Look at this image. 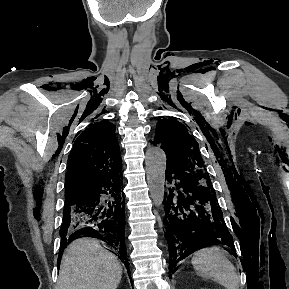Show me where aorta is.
Instances as JSON below:
<instances>
[{
	"label": "aorta",
	"mask_w": 289,
	"mask_h": 289,
	"mask_svg": "<svg viewBox=\"0 0 289 289\" xmlns=\"http://www.w3.org/2000/svg\"><path fill=\"white\" fill-rule=\"evenodd\" d=\"M145 165L150 196L155 206L161 208L165 192V152L158 146L148 148Z\"/></svg>",
	"instance_id": "1"
}]
</instances>
